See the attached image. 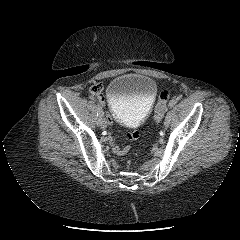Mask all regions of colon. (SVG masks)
Wrapping results in <instances>:
<instances>
[{
  "instance_id": "5ec220e1",
  "label": "colon",
  "mask_w": 240,
  "mask_h": 240,
  "mask_svg": "<svg viewBox=\"0 0 240 240\" xmlns=\"http://www.w3.org/2000/svg\"><path fill=\"white\" fill-rule=\"evenodd\" d=\"M91 92L94 94H99L101 92V86L100 85H95L92 87ZM170 97V92L169 90L165 89L161 91L156 107H155V113H154V118L157 123L161 122L163 119L165 112L167 110V102Z\"/></svg>"
}]
</instances>
